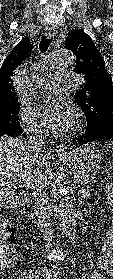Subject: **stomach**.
<instances>
[{
    "label": "stomach",
    "mask_w": 113,
    "mask_h": 279,
    "mask_svg": "<svg viewBox=\"0 0 113 279\" xmlns=\"http://www.w3.org/2000/svg\"><path fill=\"white\" fill-rule=\"evenodd\" d=\"M102 159V153L95 144H85L66 156H60V160L65 165L79 171H91L99 168Z\"/></svg>",
    "instance_id": "obj_1"
}]
</instances>
